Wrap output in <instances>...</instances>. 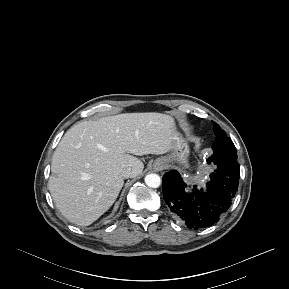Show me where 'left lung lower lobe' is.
I'll return each instance as SVG.
<instances>
[{
	"mask_svg": "<svg viewBox=\"0 0 289 289\" xmlns=\"http://www.w3.org/2000/svg\"><path fill=\"white\" fill-rule=\"evenodd\" d=\"M237 158L218 159L211 155L208 164L217 166L210 174L206 189L189 191L177 171L167 172L163 178V196L170 211L193 229L209 227L219 221L238 190L240 166Z\"/></svg>",
	"mask_w": 289,
	"mask_h": 289,
	"instance_id": "0a47b994",
	"label": "left lung lower lobe"
}]
</instances>
